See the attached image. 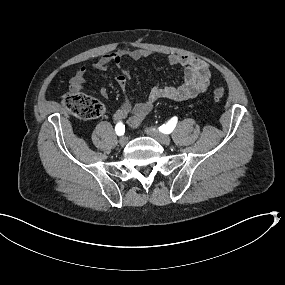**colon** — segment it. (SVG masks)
I'll return each mask as SVG.
<instances>
[{
	"label": "colon",
	"instance_id": "colon-1",
	"mask_svg": "<svg viewBox=\"0 0 285 285\" xmlns=\"http://www.w3.org/2000/svg\"><path fill=\"white\" fill-rule=\"evenodd\" d=\"M225 91L218 87L213 91L215 100H220L224 97ZM66 110L77 118L91 120L99 118L104 113L103 104L95 98L79 92H69L62 100Z\"/></svg>",
	"mask_w": 285,
	"mask_h": 285
}]
</instances>
